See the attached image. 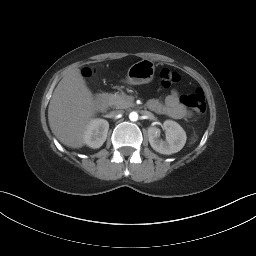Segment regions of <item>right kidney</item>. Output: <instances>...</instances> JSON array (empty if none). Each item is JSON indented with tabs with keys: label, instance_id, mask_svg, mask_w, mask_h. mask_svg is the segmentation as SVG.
Returning <instances> with one entry per match:
<instances>
[{
	"label": "right kidney",
	"instance_id": "right-kidney-1",
	"mask_svg": "<svg viewBox=\"0 0 256 256\" xmlns=\"http://www.w3.org/2000/svg\"><path fill=\"white\" fill-rule=\"evenodd\" d=\"M108 130L109 123L106 120H91L84 134L85 144L94 149L101 147L106 141Z\"/></svg>",
	"mask_w": 256,
	"mask_h": 256
}]
</instances>
